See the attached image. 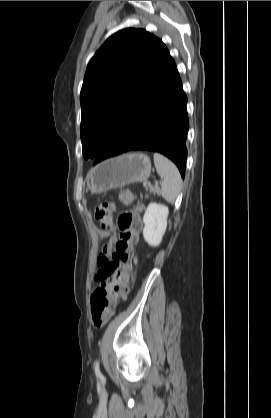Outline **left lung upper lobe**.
Masks as SVG:
<instances>
[{
	"label": "left lung upper lobe",
	"instance_id": "1",
	"mask_svg": "<svg viewBox=\"0 0 271 418\" xmlns=\"http://www.w3.org/2000/svg\"><path fill=\"white\" fill-rule=\"evenodd\" d=\"M164 43L142 29H123L90 60L80 93L83 156L97 158L170 58Z\"/></svg>",
	"mask_w": 271,
	"mask_h": 418
}]
</instances>
